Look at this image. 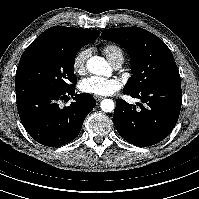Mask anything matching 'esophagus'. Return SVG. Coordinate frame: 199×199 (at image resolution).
<instances>
[{
    "label": "esophagus",
    "instance_id": "34e87169",
    "mask_svg": "<svg viewBox=\"0 0 199 199\" xmlns=\"http://www.w3.org/2000/svg\"><path fill=\"white\" fill-rule=\"evenodd\" d=\"M94 99L96 100V102H100L103 99V97H101V96H94Z\"/></svg>",
    "mask_w": 199,
    "mask_h": 199
}]
</instances>
